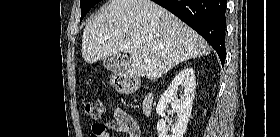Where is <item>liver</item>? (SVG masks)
Segmentation results:
<instances>
[{
	"label": "liver",
	"mask_w": 280,
	"mask_h": 137,
	"mask_svg": "<svg viewBox=\"0 0 280 137\" xmlns=\"http://www.w3.org/2000/svg\"><path fill=\"white\" fill-rule=\"evenodd\" d=\"M210 52L198 33L151 0L110 1L86 24L82 35V57L87 63L129 53L127 74L150 80Z\"/></svg>",
	"instance_id": "6515ba94"
}]
</instances>
